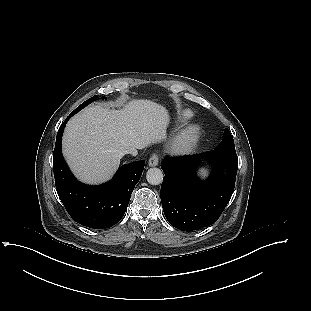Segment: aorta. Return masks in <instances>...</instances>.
Here are the masks:
<instances>
[{
    "instance_id": "obj_1",
    "label": "aorta",
    "mask_w": 311,
    "mask_h": 311,
    "mask_svg": "<svg viewBox=\"0 0 311 311\" xmlns=\"http://www.w3.org/2000/svg\"><path fill=\"white\" fill-rule=\"evenodd\" d=\"M147 182L151 185H159L163 181V172L159 168H150L146 173Z\"/></svg>"
}]
</instances>
